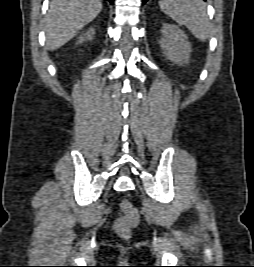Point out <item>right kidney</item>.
Wrapping results in <instances>:
<instances>
[{"mask_svg": "<svg viewBox=\"0 0 254 267\" xmlns=\"http://www.w3.org/2000/svg\"><path fill=\"white\" fill-rule=\"evenodd\" d=\"M94 34H95L94 28H90L86 33H84L79 37L77 44L83 43L86 40H92Z\"/></svg>", "mask_w": 254, "mask_h": 267, "instance_id": "right-kidney-1", "label": "right kidney"}]
</instances>
